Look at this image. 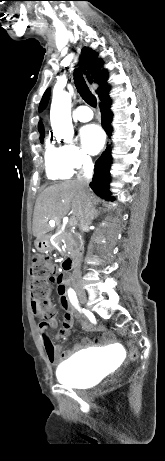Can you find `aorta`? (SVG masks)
<instances>
[{
  "label": "aorta",
  "instance_id": "762f6f07",
  "mask_svg": "<svg viewBox=\"0 0 165 461\" xmlns=\"http://www.w3.org/2000/svg\"><path fill=\"white\" fill-rule=\"evenodd\" d=\"M51 127L55 135L71 143L74 129L71 120V96L65 91H54L51 110Z\"/></svg>",
  "mask_w": 165,
  "mask_h": 461
}]
</instances>
